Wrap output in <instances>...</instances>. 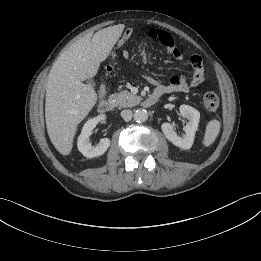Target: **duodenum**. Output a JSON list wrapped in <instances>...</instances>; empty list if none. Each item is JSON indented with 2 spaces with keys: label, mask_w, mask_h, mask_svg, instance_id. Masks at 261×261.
Listing matches in <instances>:
<instances>
[{
  "label": "duodenum",
  "mask_w": 261,
  "mask_h": 261,
  "mask_svg": "<svg viewBox=\"0 0 261 261\" xmlns=\"http://www.w3.org/2000/svg\"><path fill=\"white\" fill-rule=\"evenodd\" d=\"M162 94L158 91H155L153 93H151L150 95H148L145 100L143 101V105L145 107H151L153 105H155L160 96ZM114 109V103L109 100V99H103L100 103H99V111L101 113H109Z\"/></svg>",
  "instance_id": "410a0bca"
}]
</instances>
